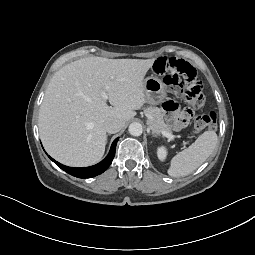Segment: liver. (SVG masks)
Listing matches in <instances>:
<instances>
[{
    "mask_svg": "<svg viewBox=\"0 0 255 255\" xmlns=\"http://www.w3.org/2000/svg\"><path fill=\"white\" fill-rule=\"evenodd\" d=\"M154 62L155 58L88 57L58 70L39 112V133L47 153L72 167L99 162L107 141L105 121L116 118L125 124L143 107L144 77Z\"/></svg>",
    "mask_w": 255,
    "mask_h": 255,
    "instance_id": "6515ba94",
    "label": "liver"
}]
</instances>
